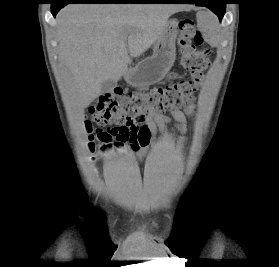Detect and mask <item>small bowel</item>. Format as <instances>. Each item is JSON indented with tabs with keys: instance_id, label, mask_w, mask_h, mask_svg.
Listing matches in <instances>:
<instances>
[{
	"instance_id": "1",
	"label": "small bowel",
	"mask_w": 279,
	"mask_h": 267,
	"mask_svg": "<svg viewBox=\"0 0 279 267\" xmlns=\"http://www.w3.org/2000/svg\"><path fill=\"white\" fill-rule=\"evenodd\" d=\"M192 113V109L186 111H173L169 116L159 113H148L134 123V130L138 133L144 129L148 133V137L144 143L130 141L128 144L139 155L144 158L147 155L148 148L154 143V135L157 131H164L168 122L174 119L178 124V129L183 132L188 115Z\"/></svg>"
}]
</instances>
